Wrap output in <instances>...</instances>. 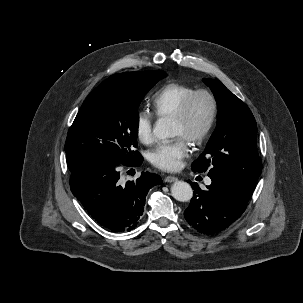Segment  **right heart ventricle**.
I'll use <instances>...</instances> for the list:
<instances>
[{
  "label": "right heart ventricle",
  "instance_id": "e07e8e85",
  "mask_svg": "<svg viewBox=\"0 0 303 303\" xmlns=\"http://www.w3.org/2000/svg\"><path fill=\"white\" fill-rule=\"evenodd\" d=\"M194 91L195 88L178 82L164 85L153 98V112L160 118H172L183 101Z\"/></svg>",
  "mask_w": 303,
  "mask_h": 303
}]
</instances>
